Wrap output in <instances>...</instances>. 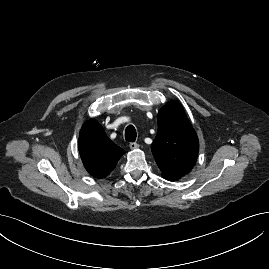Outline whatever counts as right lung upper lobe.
Listing matches in <instances>:
<instances>
[{"instance_id":"right-lung-upper-lobe-1","label":"right lung upper lobe","mask_w":269,"mask_h":269,"mask_svg":"<svg viewBox=\"0 0 269 269\" xmlns=\"http://www.w3.org/2000/svg\"><path fill=\"white\" fill-rule=\"evenodd\" d=\"M78 149L86 170L96 178L109 175L125 153L107 137L102 126L95 121H89L83 125Z\"/></svg>"}]
</instances>
